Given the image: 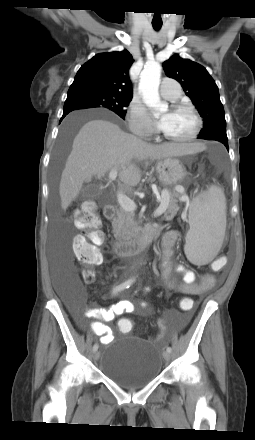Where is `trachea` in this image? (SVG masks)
<instances>
[{
	"label": "trachea",
	"mask_w": 255,
	"mask_h": 440,
	"mask_svg": "<svg viewBox=\"0 0 255 440\" xmlns=\"http://www.w3.org/2000/svg\"><path fill=\"white\" fill-rule=\"evenodd\" d=\"M152 25L155 30H159L162 26V23H152Z\"/></svg>",
	"instance_id": "1"
}]
</instances>
